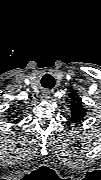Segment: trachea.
I'll return each mask as SVG.
<instances>
[{
    "instance_id": "1",
    "label": "trachea",
    "mask_w": 101,
    "mask_h": 180,
    "mask_svg": "<svg viewBox=\"0 0 101 180\" xmlns=\"http://www.w3.org/2000/svg\"><path fill=\"white\" fill-rule=\"evenodd\" d=\"M41 84L44 88L52 89L55 85V80L51 75H45L41 80Z\"/></svg>"
}]
</instances>
